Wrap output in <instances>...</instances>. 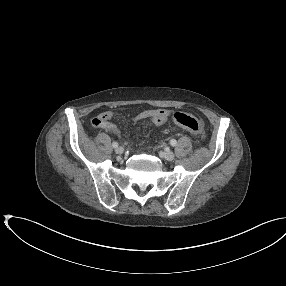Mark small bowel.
Instances as JSON below:
<instances>
[{
	"mask_svg": "<svg viewBox=\"0 0 286 286\" xmlns=\"http://www.w3.org/2000/svg\"><path fill=\"white\" fill-rule=\"evenodd\" d=\"M113 113L110 111H104L98 116L92 119V125L94 127L103 128L116 135H120L121 131L119 127L111 121ZM169 118V112L164 109H148L140 112L135 116V121L150 120L152 123L158 126L164 125Z\"/></svg>",
	"mask_w": 286,
	"mask_h": 286,
	"instance_id": "small-bowel-1",
	"label": "small bowel"
}]
</instances>
